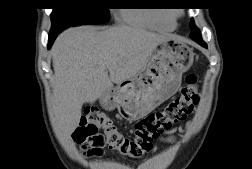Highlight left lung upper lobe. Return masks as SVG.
I'll return each mask as SVG.
<instances>
[{
    "label": "left lung upper lobe",
    "mask_w": 252,
    "mask_h": 169,
    "mask_svg": "<svg viewBox=\"0 0 252 169\" xmlns=\"http://www.w3.org/2000/svg\"><path fill=\"white\" fill-rule=\"evenodd\" d=\"M190 27L192 30V32L190 33V37L200 32L199 29L195 26L193 20H191V22H190Z\"/></svg>",
    "instance_id": "5c2ea615"
}]
</instances>
